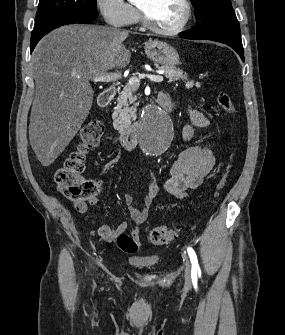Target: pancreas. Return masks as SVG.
Segmentation results:
<instances>
[{
	"label": "pancreas",
	"mask_w": 285,
	"mask_h": 335,
	"mask_svg": "<svg viewBox=\"0 0 285 335\" xmlns=\"http://www.w3.org/2000/svg\"><path fill=\"white\" fill-rule=\"evenodd\" d=\"M158 70H164L166 74H168V78L170 82H177V80H185L186 88H201L200 82H194V80H188L186 72L183 70H179V68H167V66H156ZM132 86H127L124 88L123 92H120L121 96H119L117 105L112 107L113 114L111 116V121L114 122L115 125H131L132 122H136L138 115V106L132 105L135 100H137L136 96H132Z\"/></svg>",
	"instance_id": "pancreas-1"
}]
</instances>
